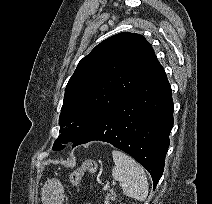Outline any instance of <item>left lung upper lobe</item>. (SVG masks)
<instances>
[{"label":"left lung upper lobe","mask_w":212,"mask_h":204,"mask_svg":"<svg viewBox=\"0 0 212 204\" xmlns=\"http://www.w3.org/2000/svg\"><path fill=\"white\" fill-rule=\"evenodd\" d=\"M160 66L151 45L139 34L123 32L102 41L69 79L59 118L61 134L53 150L68 142L75 147L92 125Z\"/></svg>","instance_id":"1"}]
</instances>
